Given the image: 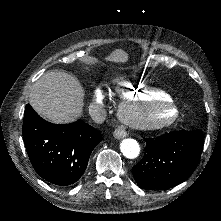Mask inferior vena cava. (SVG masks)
I'll return each mask as SVG.
<instances>
[{
  "label": "inferior vena cava",
  "instance_id": "inferior-vena-cava-1",
  "mask_svg": "<svg viewBox=\"0 0 221 221\" xmlns=\"http://www.w3.org/2000/svg\"><path fill=\"white\" fill-rule=\"evenodd\" d=\"M106 117V111L104 108H100L98 111V120L100 123H103L105 121Z\"/></svg>",
  "mask_w": 221,
  "mask_h": 221
}]
</instances>
